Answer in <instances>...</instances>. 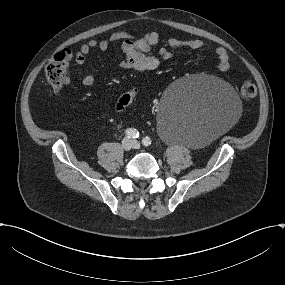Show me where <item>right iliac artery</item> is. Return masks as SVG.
I'll return each mask as SVG.
<instances>
[{
    "label": "right iliac artery",
    "instance_id": "right-iliac-artery-1",
    "mask_svg": "<svg viewBox=\"0 0 285 285\" xmlns=\"http://www.w3.org/2000/svg\"><path fill=\"white\" fill-rule=\"evenodd\" d=\"M125 134L127 135L128 138L135 139V138L139 137V132L136 129H133V128H128L125 131Z\"/></svg>",
    "mask_w": 285,
    "mask_h": 285
}]
</instances>
